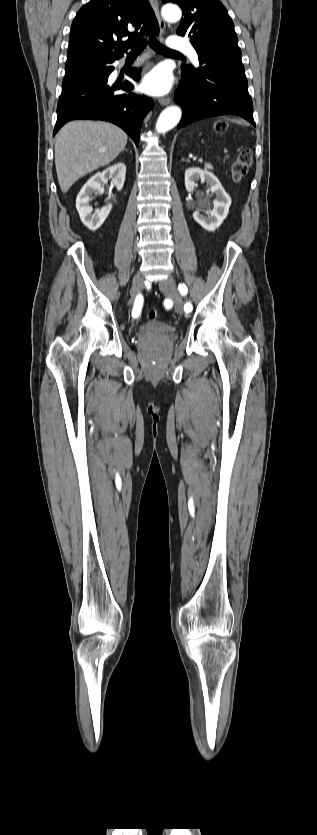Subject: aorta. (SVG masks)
<instances>
[{
    "label": "aorta",
    "instance_id": "aorta-1",
    "mask_svg": "<svg viewBox=\"0 0 317 835\" xmlns=\"http://www.w3.org/2000/svg\"><path fill=\"white\" fill-rule=\"evenodd\" d=\"M163 18L168 22H177L182 16V12L177 5L167 4L161 10ZM181 119V109L177 106H170L162 111L157 123L156 131L158 133H165L174 128ZM138 831V829L136 830Z\"/></svg>",
    "mask_w": 317,
    "mask_h": 835
}]
</instances>
